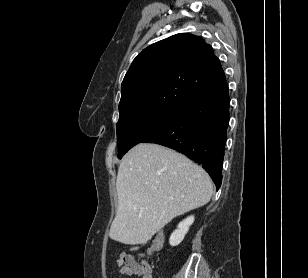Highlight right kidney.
I'll return each instance as SVG.
<instances>
[{
  "mask_svg": "<svg viewBox=\"0 0 308 278\" xmlns=\"http://www.w3.org/2000/svg\"><path fill=\"white\" fill-rule=\"evenodd\" d=\"M193 222L194 216H190L178 224V228L173 231L169 239L171 246H177L183 241L189 227L193 224Z\"/></svg>",
  "mask_w": 308,
  "mask_h": 278,
  "instance_id": "right-kidney-1",
  "label": "right kidney"
}]
</instances>
